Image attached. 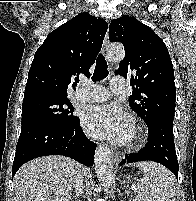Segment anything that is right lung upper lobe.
I'll list each match as a JSON object with an SVG mask.
<instances>
[{"instance_id": "cb5924a9", "label": "right lung upper lobe", "mask_w": 196, "mask_h": 201, "mask_svg": "<svg viewBox=\"0 0 196 201\" xmlns=\"http://www.w3.org/2000/svg\"><path fill=\"white\" fill-rule=\"evenodd\" d=\"M107 26L105 20L83 12L52 31L34 55L24 98L67 97L68 86L75 76L90 75Z\"/></svg>"}]
</instances>
